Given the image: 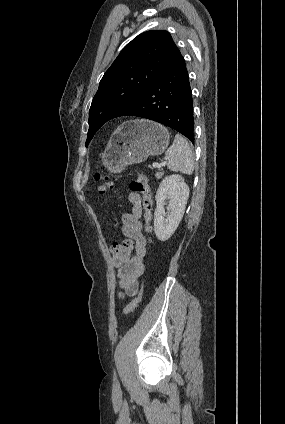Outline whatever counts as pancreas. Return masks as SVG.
Returning a JSON list of instances; mask_svg holds the SVG:
<instances>
[{"instance_id":"1","label":"pancreas","mask_w":285,"mask_h":424,"mask_svg":"<svg viewBox=\"0 0 285 424\" xmlns=\"http://www.w3.org/2000/svg\"><path fill=\"white\" fill-rule=\"evenodd\" d=\"M162 176H163V172H157V173H156V177H157L158 179H160Z\"/></svg>"}]
</instances>
